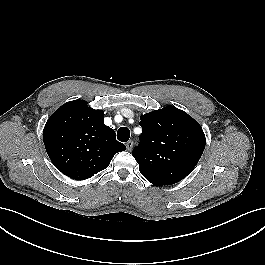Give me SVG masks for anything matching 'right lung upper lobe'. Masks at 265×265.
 I'll list each match as a JSON object with an SVG mask.
<instances>
[{
    "label": "right lung upper lobe",
    "instance_id": "1",
    "mask_svg": "<svg viewBox=\"0 0 265 265\" xmlns=\"http://www.w3.org/2000/svg\"><path fill=\"white\" fill-rule=\"evenodd\" d=\"M103 121L104 112L88 108L84 100L63 104L48 119L43 141L59 171L85 180L106 169L114 154L126 149Z\"/></svg>",
    "mask_w": 265,
    "mask_h": 265
}]
</instances>
